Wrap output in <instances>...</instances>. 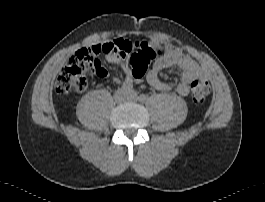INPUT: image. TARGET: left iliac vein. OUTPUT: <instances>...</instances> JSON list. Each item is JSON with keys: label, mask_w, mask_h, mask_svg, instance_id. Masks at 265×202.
<instances>
[{"label": "left iliac vein", "mask_w": 265, "mask_h": 202, "mask_svg": "<svg viewBox=\"0 0 265 202\" xmlns=\"http://www.w3.org/2000/svg\"><path fill=\"white\" fill-rule=\"evenodd\" d=\"M128 100L129 101H137L138 100V97H137V94L135 91H130L128 92Z\"/></svg>", "instance_id": "left-iliac-vein-1"}]
</instances>
